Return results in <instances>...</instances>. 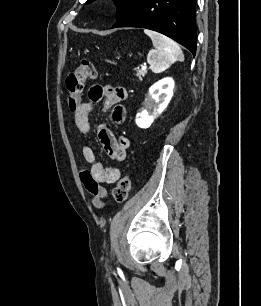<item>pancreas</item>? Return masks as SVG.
I'll use <instances>...</instances> for the list:
<instances>
[{
  "mask_svg": "<svg viewBox=\"0 0 261 306\" xmlns=\"http://www.w3.org/2000/svg\"><path fill=\"white\" fill-rule=\"evenodd\" d=\"M146 74L147 71H138L136 76L140 79V81H142V77H145Z\"/></svg>",
  "mask_w": 261,
  "mask_h": 306,
  "instance_id": "pancreas-1",
  "label": "pancreas"
}]
</instances>
